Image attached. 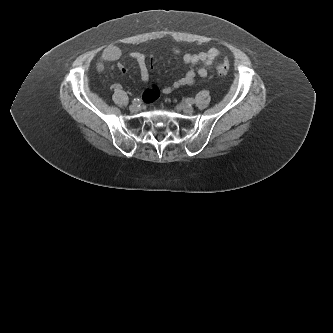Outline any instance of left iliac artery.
Listing matches in <instances>:
<instances>
[{
  "label": "left iliac artery",
  "instance_id": "left-iliac-artery-1",
  "mask_svg": "<svg viewBox=\"0 0 333 333\" xmlns=\"http://www.w3.org/2000/svg\"><path fill=\"white\" fill-rule=\"evenodd\" d=\"M186 102L191 105L194 104V99L193 98H187Z\"/></svg>",
  "mask_w": 333,
  "mask_h": 333
}]
</instances>
